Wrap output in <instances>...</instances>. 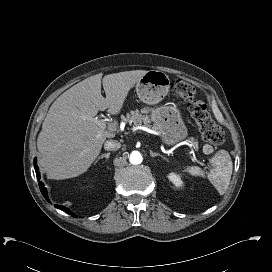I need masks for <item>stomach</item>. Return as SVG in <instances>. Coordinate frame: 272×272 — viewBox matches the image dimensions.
<instances>
[{"instance_id":"0dacf381","label":"stomach","mask_w":272,"mask_h":272,"mask_svg":"<svg viewBox=\"0 0 272 272\" xmlns=\"http://www.w3.org/2000/svg\"><path fill=\"white\" fill-rule=\"evenodd\" d=\"M170 78L158 70H150L136 83L138 98L148 104L157 105L168 94ZM151 121L154 129L161 134L162 141L174 145L184 140L188 135L187 127L176 106H161L152 109Z\"/></svg>"}]
</instances>
